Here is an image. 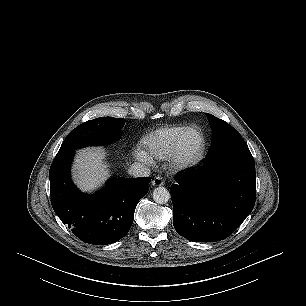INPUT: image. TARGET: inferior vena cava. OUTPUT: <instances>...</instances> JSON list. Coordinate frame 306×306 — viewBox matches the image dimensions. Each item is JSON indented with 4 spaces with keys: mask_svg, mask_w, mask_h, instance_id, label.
<instances>
[{
    "mask_svg": "<svg viewBox=\"0 0 306 306\" xmlns=\"http://www.w3.org/2000/svg\"><path fill=\"white\" fill-rule=\"evenodd\" d=\"M128 173L133 177H148L151 171L147 166L135 162L130 166Z\"/></svg>",
    "mask_w": 306,
    "mask_h": 306,
    "instance_id": "obj_1",
    "label": "inferior vena cava"
}]
</instances>
